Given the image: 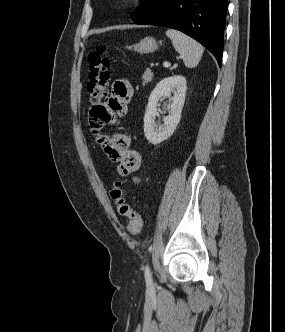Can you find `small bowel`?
<instances>
[{"label": "small bowel", "instance_id": "small-bowel-1", "mask_svg": "<svg viewBox=\"0 0 285 332\" xmlns=\"http://www.w3.org/2000/svg\"><path fill=\"white\" fill-rule=\"evenodd\" d=\"M133 95V87L124 78L117 79L112 85V92L104 103L92 106L89 110L90 125L94 131L105 125L122 120L128 111V105ZM98 142L107 157L118 165L121 175H129L139 170L140 154L132 149L131 136L125 132H116L112 136L99 135ZM134 183L140 178L135 176Z\"/></svg>", "mask_w": 285, "mask_h": 332}]
</instances>
